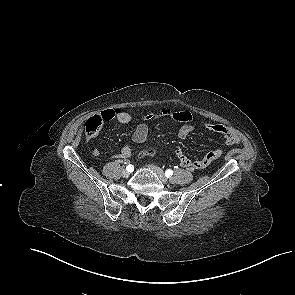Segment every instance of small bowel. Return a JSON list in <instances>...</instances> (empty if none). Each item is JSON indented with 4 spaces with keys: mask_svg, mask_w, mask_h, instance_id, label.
Here are the masks:
<instances>
[{
    "mask_svg": "<svg viewBox=\"0 0 295 295\" xmlns=\"http://www.w3.org/2000/svg\"><path fill=\"white\" fill-rule=\"evenodd\" d=\"M97 116L101 119L102 123L116 120L119 123L126 124L133 119V115L130 112L120 108L104 110ZM162 116H167L171 120L181 124L178 131V137L180 139H186L195 129V119L190 112L163 107L157 112H148L142 115L143 122L136 127L132 135V140L136 143H144L148 138L149 122ZM205 127L214 133L222 135L227 145H237L240 142L238 135L228 126L219 123H206ZM93 154L98 157L100 156V151L95 149ZM131 154L132 151L130 145L125 144L121 150V158L126 161L131 157ZM176 155L183 168L193 171L208 167L213 161L221 157L222 151L219 149L213 150L208 152L201 159L191 160L184 155L180 148H177Z\"/></svg>",
    "mask_w": 295,
    "mask_h": 295,
    "instance_id": "c3829d8e",
    "label": "small bowel"
}]
</instances>
